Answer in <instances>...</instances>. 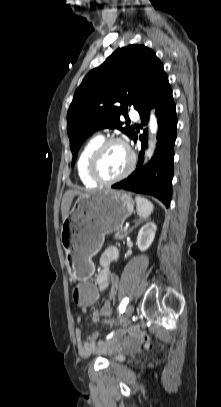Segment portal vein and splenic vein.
<instances>
[{"mask_svg": "<svg viewBox=\"0 0 221 407\" xmlns=\"http://www.w3.org/2000/svg\"><path fill=\"white\" fill-rule=\"evenodd\" d=\"M124 229L127 230V229H128V225H126V226L124 227Z\"/></svg>", "mask_w": 221, "mask_h": 407, "instance_id": "1", "label": "portal vein and splenic vein"}]
</instances>
